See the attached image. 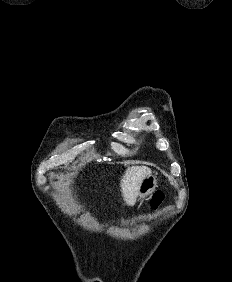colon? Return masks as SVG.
<instances>
[{
	"label": "colon",
	"mask_w": 232,
	"mask_h": 282,
	"mask_svg": "<svg viewBox=\"0 0 232 282\" xmlns=\"http://www.w3.org/2000/svg\"><path fill=\"white\" fill-rule=\"evenodd\" d=\"M164 193L162 191H158L154 194L152 201H151V206L153 209H157L158 207L161 206V204L164 201Z\"/></svg>",
	"instance_id": "1"
}]
</instances>
